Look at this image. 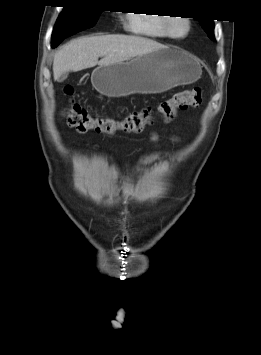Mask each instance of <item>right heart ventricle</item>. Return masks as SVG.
I'll return each instance as SVG.
<instances>
[{"mask_svg": "<svg viewBox=\"0 0 261 355\" xmlns=\"http://www.w3.org/2000/svg\"><path fill=\"white\" fill-rule=\"evenodd\" d=\"M166 17L133 13L128 16V28L137 35L146 36L155 39H166L168 36L164 28Z\"/></svg>", "mask_w": 261, "mask_h": 355, "instance_id": "obj_1", "label": "right heart ventricle"}]
</instances>
